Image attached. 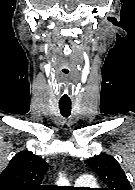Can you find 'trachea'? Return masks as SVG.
<instances>
[{
	"mask_svg": "<svg viewBox=\"0 0 135 190\" xmlns=\"http://www.w3.org/2000/svg\"><path fill=\"white\" fill-rule=\"evenodd\" d=\"M59 108L63 117H69L71 114V103H59Z\"/></svg>",
	"mask_w": 135,
	"mask_h": 190,
	"instance_id": "obj_1",
	"label": "trachea"
}]
</instances>
